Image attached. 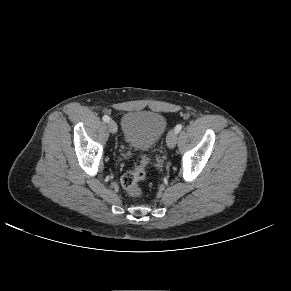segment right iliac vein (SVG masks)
<instances>
[{"label":"right iliac vein","mask_w":291,"mask_h":291,"mask_svg":"<svg viewBox=\"0 0 291 291\" xmlns=\"http://www.w3.org/2000/svg\"><path fill=\"white\" fill-rule=\"evenodd\" d=\"M108 128L113 134H115L118 130L117 124L113 120L108 122Z\"/></svg>","instance_id":"63e3f726"}]
</instances>
